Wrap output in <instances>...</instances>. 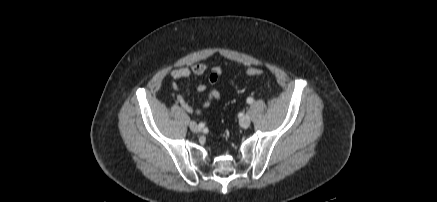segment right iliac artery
Instances as JSON below:
<instances>
[{
	"mask_svg": "<svg viewBox=\"0 0 437 202\" xmlns=\"http://www.w3.org/2000/svg\"><path fill=\"white\" fill-rule=\"evenodd\" d=\"M199 126H200L201 128H203V127H204V124H203V123H200Z\"/></svg>",
	"mask_w": 437,
	"mask_h": 202,
	"instance_id": "82829eb1",
	"label": "right iliac artery"
}]
</instances>
